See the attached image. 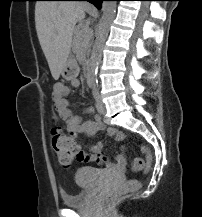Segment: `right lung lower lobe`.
Here are the masks:
<instances>
[{"mask_svg": "<svg viewBox=\"0 0 202 217\" xmlns=\"http://www.w3.org/2000/svg\"><path fill=\"white\" fill-rule=\"evenodd\" d=\"M49 1H59V0H49ZM61 1H89L94 4L97 8H100V4L103 0H61Z\"/></svg>", "mask_w": 202, "mask_h": 217, "instance_id": "98d812e1", "label": "right lung lower lobe"}]
</instances>
